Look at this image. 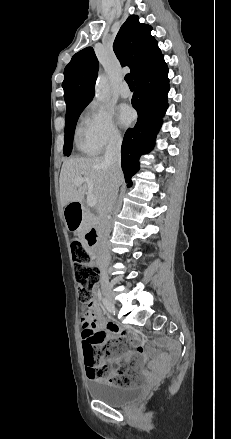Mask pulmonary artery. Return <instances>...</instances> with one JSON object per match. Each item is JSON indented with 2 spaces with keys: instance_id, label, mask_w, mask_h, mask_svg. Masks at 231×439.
I'll list each match as a JSON object with an SVG mask.
<instances>
[{
  "instance_id": "pulmonary-artery-1",
  "label": "pulmonary artery",
  "mask_w": 231,
  "mask_h": 439,
  "mask_svg": "<svg viewBox=\"0 0 231 439\" xmlns=\"http://www.w3.org/2000/svg\"><path fill=\"white\" fill-rule=\"evenodd\" d=\"M120 95L124 98L130 95V89L125 83H123L120 87Z\"/></svg>"
}]
</instances>
